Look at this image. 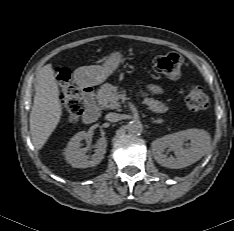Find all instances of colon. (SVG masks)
<instances>
[{
    "mask_svg": "<svg viewBox=\"0 0 234 231\" xmlns=\"http://www.w3.org/2000/svg\"><path fill=\"white\" fill-rule=\"evenodd\" d=\"M184 65L183 58L177 53H169L155 59L153 66L156 71L170 80L181 77ZM58 83L62 100L63 114L67 122L76 124L83 113V103L78 90L70 82V72L66 68L58 70ZM186 107L191 111H200L208 107L207 95L199 86H193L185 99Z\"/></svg>",
    "mask_w": 234,
    "mask_h": 231,
    "instance_id": "colon-1",
    "label": "colon"
}]
</instances>
